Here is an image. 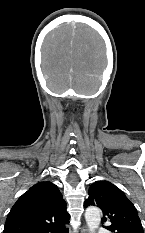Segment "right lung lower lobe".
<instances>
[{"instance_id": "right-lung-lower-lobe-1", "label": "right lung lower lobe", "mask_w": 145, "mask_h": 233, "mask_svg": "<svg viewBox=\"0 0 145 233\" xmlns=\"http://www.w3.org/2000/svg\"><path fill=\"white\" fill-rule=\"evenodd\" d=\"M64 233H68V229L66 231H64Z\"/></svg>"}]
</instances>
